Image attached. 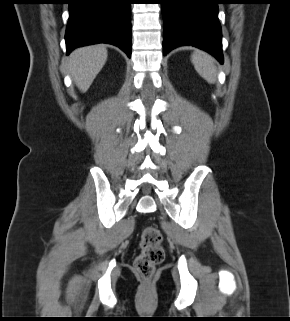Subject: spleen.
Masks as SVG:
<instances>
[{
  "label": "spleen",
  "mask_w": 290,
  "mask_h": 321,
  "mask_svg": "<svg viewBox=\"0 0 290 321\" xmlns=\"http://www.w3.org/2000/svg\"><path fill=\"white\" fill-rule=\"evenodd\" d=\"M192 63L199 75L208 83L216 81V67L210 55L197 51L192 55Z\"/></svg>",
  "instance_id": "1"
}]
</instances>
